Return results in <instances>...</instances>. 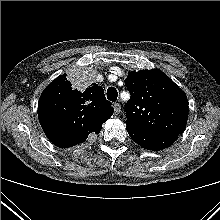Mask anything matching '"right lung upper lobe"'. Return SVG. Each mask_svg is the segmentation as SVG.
Returning <instances> with one entry per match:
<instances>
[{
  "label": "right lung upper lobe",
  "mask_w": 220,
  "mask_h": 220,
  "mask_svg": "<svg viewBox=\"0 0 220 220\" xmlns=\"http://www.w3.org/2000/svg\"><path fill=\"white\" fill-rule=\"evenodd\" d=\"M111 105L96 83L77 90L67 74H62L42 92L38 118L48 139L57 147L67 148L99 131L114 112Z\"/></svg>",
  "instance_id": "obj_1"
}]
</instances>
